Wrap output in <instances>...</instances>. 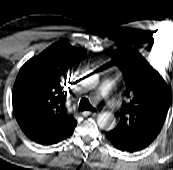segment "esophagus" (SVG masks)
I'll return each instance as SVG.
<instances>
[{
  "label": "esophagus",
  "instance_id": "34e87169",
  "mask_svg": "<svg viewBox=\"0 0 173 170\" xmlns=\"http://www.w3.org/2000/svg\"><path fill=\"white\" fill-rule=\"evenodd\" d=\"M86 115H92V116H97L99 114V111H86L84 112Z\"/></svg>",
  "mask_w": 173,
  "mask_h": 170
}]
</instances>
